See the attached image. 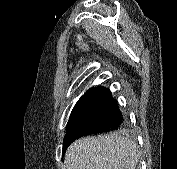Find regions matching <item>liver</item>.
Masks as SVG:
<instances>
[{
	"instance_id": "liver-1",
	"label": "liver",
	"mask_w": 177,
	"mask_h": 169,
	"mask_svg": "<svg viewBox=\"0 0 177 169\" xmlns=\"http://www.w3.org/2000/svg\"><path fill=\"white\" fill-rule=\"evenodd\" d=\"M136 144L118 134L85 137L73 142L65 153V169H135Z\"/></svg>"
}]
</instances>
